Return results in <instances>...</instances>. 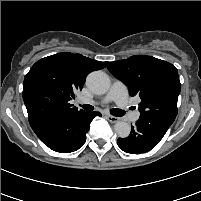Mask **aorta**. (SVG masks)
Here are the masks:
<instances>
[{
    "label": "aorta",
    "mask_w": 201,
    "mask_h": 201,
    "mask_svg": "<svg viewBox=\"0 0 201 201\" xmlns=\"http://www.w3.org/2000/svg\"><path fill=\"white\" fill-rule=\"evenodd\" d=\"M86 84L93 93L101 95L109 90L110 79L106 73L94 71L87 76ZM114 131L120 138H126L130 134L131 127L125 121H118L114 125Z\"/></svg>",
    "instance_id": "762f6f07"
}]
</instances>
